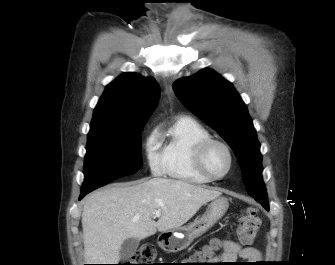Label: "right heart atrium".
Wrapping results in <instances>:
<instances>
[{"instance_id": "obj_1", "label": "right heart atrium", "mask_w": 335, "mask_h": 265, "mask_svg": "<svg viewBox=\"0 0 335 265\" xmlns=\"http://www.w3.org/2000/svg\"><path fill=\"white\" fill-rule=\"evenodd\" d=\"M145 152L151 171L161 174L164 171L160 140L156 131H153L146 139Z\"/></svg>"}]
</instances>
